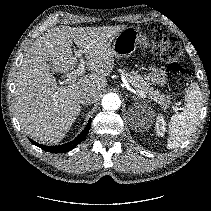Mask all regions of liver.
Segmentation results:
<instances>
[{
  "label": "liver",
  "mask_w": 211,
  "mask_h": 211,
  "mask_svg": "<svg viewBox=\"0 0 211 211\" xmlns=\"http://www.w3.org/2000/svg\"><path fill=\"white\" fill-rule=\"evenodd\" d=\"M125 26L54 27L37 38L28 49L17 72L13 106L26 134L47 143H59L80 114L78 98L91 93L96 101L114 69L111 42ZM85 54L92 74L57 86L55 72L66 73L77 65L72 44Z\"/></svg>",
  "instance_id": "liver-1"
}]
</instances>
